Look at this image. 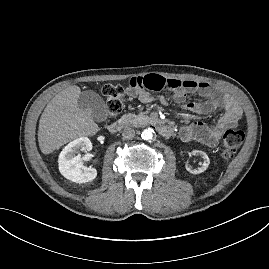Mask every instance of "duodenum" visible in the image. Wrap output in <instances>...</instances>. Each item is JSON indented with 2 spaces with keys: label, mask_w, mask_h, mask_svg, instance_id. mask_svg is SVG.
I'll list each match as a JSON object with an SVG mask.
<instances>
[{
  "label": "duodenum",
  "mask_w": 269,
  "mask_h": 269,
  "mask_svg": "<svg viewBox=\"0 0 269 269\" xmlns=\"http://www.w3.org/2000/svg\"><path fill=\"white\" fill-rule=\"evenodd\" d=\"M123 127L122 121H114L108 126V130L110 133H117ZM157 130L163 136H170L174 133V127L171 124H160L157 126Z\"/></svg>",
  "instance_id": "1"
}]
</instances>
